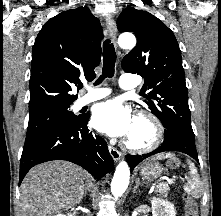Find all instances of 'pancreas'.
Masks as SVG:
<instances>
[{"instance_id":"obj_1","label":"pancreas","mask_w":221,"mask_h":216,"mask_svg":"<svg viewBox=\"0 0 221 216\" xmlns=\"http://www.w3.org/2000/svg\"><path fill=\"white\" fill-rule=\"evenodd\" d=\"M169 190V186L165 183H162L160 185H157V192L162 194V195H167V192Z\"/></svg>"}]
</instances>
